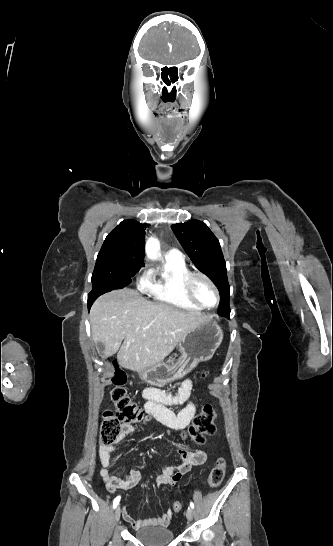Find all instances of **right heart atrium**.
<instances>
[{
    "label": "right heart atrium",
    "mask_w": 333,
    "mask_h": 546,
    "mask_svg": "<svg viewBox=\"0 0 333 546\" xmlns=\"http://www.w3.org/2000/svg\"><path fill=\"white\" fill-rule=\"evenodd\" d=\"M136 287L142 293L151 294L155 288L153 271L145 267L136 279Z\"/></svg>",
    "instance_id": "right-heart-atrium-1"
}]
</instances>
